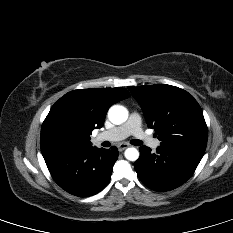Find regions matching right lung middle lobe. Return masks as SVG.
<instances>
[{"instance_id": "dd1d6c3e", "label": "right lung middle lobe", "mask_w": 233, "mask_h": 233, "mask_svg": "<svg viewBox=\"0 0 233 233\" xmlns=\"http://www.w3.org/2000/svg\"><path fill=\"white\" fill-rule=\"evenodd\" d=\"M80 134L71 124L60 119L45 120L40 136L41 150L78 148Z\"/></svg>"}]
</instances>
